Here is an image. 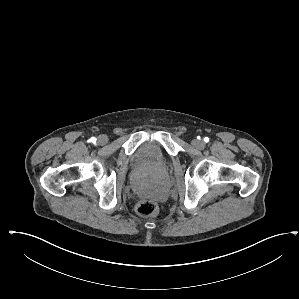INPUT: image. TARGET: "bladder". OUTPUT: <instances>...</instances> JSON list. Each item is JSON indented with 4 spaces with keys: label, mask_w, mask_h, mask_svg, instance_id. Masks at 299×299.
Instances as JSON below:
<instances>
[{
    "label": "bladder",
    "mask_w": 299,
    "mask_h": 299,
    "mask_svg": "<svg viewBox=\"0 0 299 299\" xmlns=\"http://www.w3.org/2000/svg\"><path fill=\"white\" fill-rule=\"evenodd\" d=\"M161 156L160 147L151 142L141 145L135 153V158L139 163L157 162L161 159Z\"/></svg>",
    "instance_id": "obj_1"
}]
</instances>
